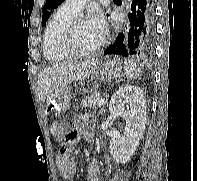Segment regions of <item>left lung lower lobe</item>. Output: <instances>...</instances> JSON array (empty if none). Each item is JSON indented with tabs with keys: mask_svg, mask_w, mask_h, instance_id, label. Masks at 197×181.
Listing matches in <instances>:
<instances>
[{
	"mask_svg": "<svg viewBox=\"0 0 197 181\" xmlns=\"http://www.w3.org/2000/svg\"><path fill=\"white\" fill-rule=\"evenodd\" d=\"M130 24L118 34L104 55L149 57L155 37L154 0H132Z\"/></svg>",
	"mask_w": 197,
	"mask_h": 181,
	"instance_id": "0a47b994",
	"label": "left lung lower lobe"
}]
</instances>
